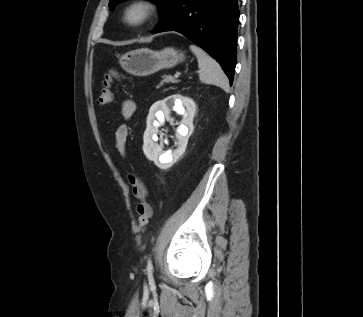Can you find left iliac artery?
Here are the masks:
<instances>
[{"label":"left iliac artery","mask_w":363,"mask_h":317,"mask_svg":"<svg viewBox=\"0 0 363 317\" xmlns=\"http://www.w3.org/2000/svg\"><path fill=\"white\" fill-rule=\"evenodd\" d=\"M152 269H153L152 261L150 259H148V262H147V271H148V276L149 277H152Z\"/></svg>","instance_id":"obj_1"}]
</instances>
